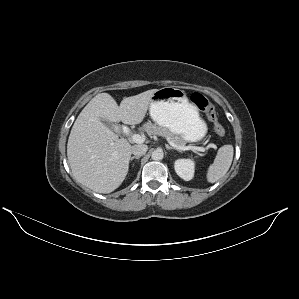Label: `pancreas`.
<instances>
[{
	"label": "pancreas",
	"mask_w": 299,
	"mask_h": 299,
	"mask_svg": "<svg viewBox=\"0 0 299 299\" xmlns=\"http://www.w3.org/2000/svg\"><path fill=\"white\" fill-rule=\"evenodd\" d=\"M143 129L149 134V135H157L161 136L163 138H166L168 141H171L177 145L184 146L185 142L182 140V138L175 136L173 133L168 131L166 128H163L161 126H157L155 124H152L151 122H147L144 124Z\"/></svg>",
	"instance_id": "pancreas-1"
}]
</instances>
